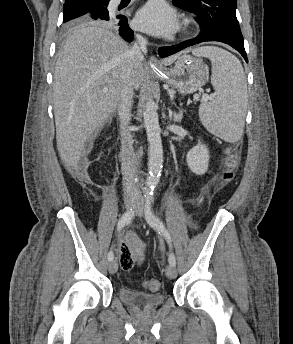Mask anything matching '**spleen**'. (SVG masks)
<instances>
[{
	"label": "spleen",
	"mask_w": 293,
	"mask_h": 344,
	"mask_svg": "<svg viewBox=\"0 0 293 344\" xmlns=\"http://www.w3.org/2000/svg\"><path fill=\"white\" fill-rule=\"evenodd\" d=\"M194 55L207 57L212 63L211 83L214 99L199 108L203 126L227 142L240 139L244 131L247 84L240 61L230 52L213 46L196 48Z\"/></svg>",
	"instance_id": "1"
}]
</instances>
